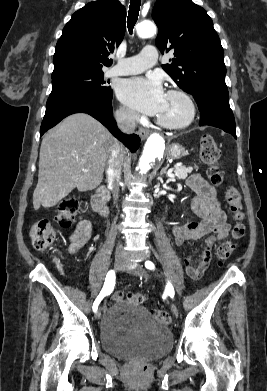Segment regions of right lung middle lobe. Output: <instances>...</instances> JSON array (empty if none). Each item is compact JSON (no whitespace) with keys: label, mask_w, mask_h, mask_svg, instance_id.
<instances>
[{"label":"right lung middle lobe","mask_w":267,"mask_h":391,"mask_svg":"<svg viewBox=\"0 0 267 391\" xmlns=\"http://www.w3.org/2000/svg\"><path fill=\"white\" fill-rule=\"evenodd\" d=\"M103 74V71H75L52 76V92L49 97L73 92L112 97L113 91L106 86Z\"/></svg>","instance_id":"1"}]
</instances>
